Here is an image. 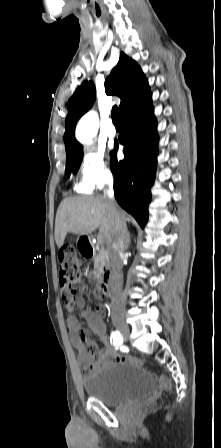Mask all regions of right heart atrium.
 I'll use <instances>...</instances> for the list:
<instances>
[{"mask_svg":"<svg viewBox=\"0 0 221 448\" xmlns=\"http://www.w3.org/2000/svg\"><path fill=\"white\" fill-rule=\"evenodd\" d=\"M113 179L112 169L102 152L89 150L81 160L78 189L91 192L108 184Z\"/></svg>","mask_w":221,"mask_h":448,"instance_id":"1","label":"right heart atrium"}]
</instances>
